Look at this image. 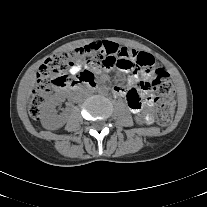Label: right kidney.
Listing matches in <instances>:
<instances>
[{
    "label": "right kidney",
    "instance_id": "right-kidney-1",
    "mask_svg": "<svg viewBox=\"0 0 207 207\" xmlns=\"http://www.w3.org/2000/svg\"><path fill=\"white\" fill-rule=\"evenodd\" d=\"M62 100L60 94L53 95L46 103L41 115V124L44 128L54 130L62 127L66 123V118L63 114L56 113V106Z\"/></svg>",
    "mask_w": 207,
    "mask_h": 207
}]
</instances>
